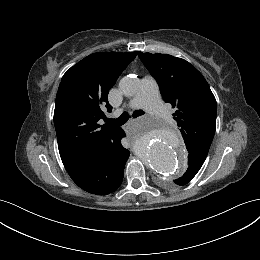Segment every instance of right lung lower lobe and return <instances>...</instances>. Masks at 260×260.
<instances>
[{"label":"right lung lower lobe","mask_w":260,"mask_h":260,"mask_svg":"<svg viewBox=\"0 0 260 260\" xmlns=\"http://www.w3.org/2000/svg\"><path fill=\"white\" fill-rule=\"evenodd\" d=\"M124 136L125 132L121 129L112 144L97 150L68 170L72 180L92 194L107 195L114 192L122 183L124 166L130 154L121 144Z\"/></svg>","instance_id":"1"}]
</instances>
